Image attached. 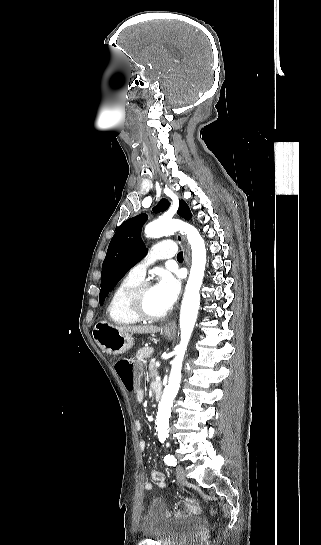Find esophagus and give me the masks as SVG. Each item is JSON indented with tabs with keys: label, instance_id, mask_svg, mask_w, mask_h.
I'll list each match as a JSON object with an SVG mask.
<instances>
[{
	"label": "esophagus",
	"instance_id": "esophagus-1",
	"mask_svg": "<svg viewBox=\"0 0 321 545\" xmlns=\"http://www.w3.org/2000/svg\"><path fill=\"white\" fill-rule=\"evenodd\" d=\"M176 239L178 241V243L181 245H183V249H184V260L187 264V266L189 267V264H190V247L187 243V240H186V237L184 236H181L180 234H177L176 235ZM175 324L174 323H168L166 324L165 328L166 329H172L174 328Z\"/></svg>",
	"mask_w": 321,
	"mask_h": 545
}]
</instances>
